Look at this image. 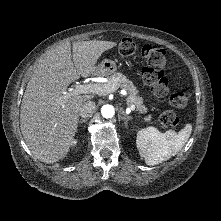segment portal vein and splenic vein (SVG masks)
Here are the masks:
<instances>
[{"label":"portal vein and splenic vein","mask_w":221,"mask_h":221,"mask_svg":"<svg viewBox=\"0 0 221 221\" xmlns=\"http://www.w3.org/2000/svg\"><path fill=\"white\" fill-rule=\"evenodd\" d=\"M115 90H117V88L114 85L113 86L101 85L100 83L77 84L74 89H70L69 92L66 93L65 97H71L79 94H90V93L104 94V93L114 92ZM129 109L135 110V106L131 105Z\"/></svg>","instance_id":"1"}]
</instances>
